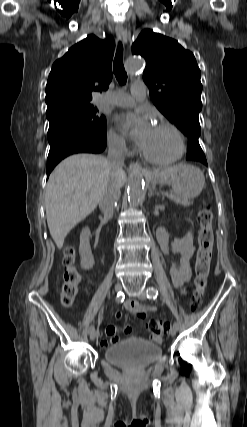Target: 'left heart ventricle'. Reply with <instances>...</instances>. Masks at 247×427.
<instances>
[{
  "mask_svg": "<svg viewBox=\"0 0 247 427\" xmlns=\"http://www.w3.org/2000/svg\"><path fill=\"white\" fill-rule=\"evenodd\" d=\"M142 149L153 157H170L177 150V140L168 129L154 127Z\"/></svg>",
  "mask_w": 247,
  "mask_h": 427,
  "instance_id": "obj_1",
  "label": "left heart ventricle"
}]
</instances>
